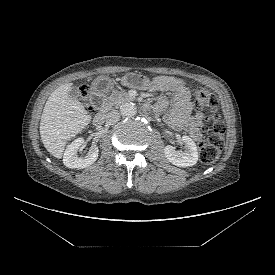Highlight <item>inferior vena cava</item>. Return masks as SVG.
<instances>
[{
    "label": "inferior vena cava",
    "mask_w": 275,
    "mask_h": 275,
    "mask_svg": "<svg viewBox=\"0 0 275 275\" xmlns=\"http://www.w3.org/2000/svg\"><path fill=\"white\" fill-rule=\"evenodd\" d=\"M120 119V113L117 110L110 111L106 116V122L110 125L117 123Z\"/></svg>",
    "instance_id": "602c4592"
}]
</instances>
